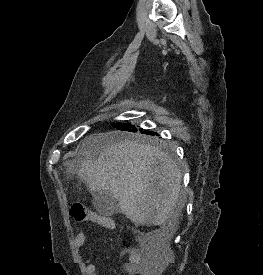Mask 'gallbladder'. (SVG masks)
I'll list each match as a JSON object with an SVG mask.
<instances>
[{"instance_id": "bac80fb5", "label": "gallbladder", "mask_w": 263, "mask_h": 275, "mask_svg": "<svg viewBox=\"0 0 263 275\" xmlns=\"http://www.w3.org/2000/svg\"><path fill=\"white\" fill-rule=\"evenodd\" d=\"M92 197V204L101 215L112 216L122 212L119 202L109 191H96L92 193Z\"/></svg>"}]
</instances>
